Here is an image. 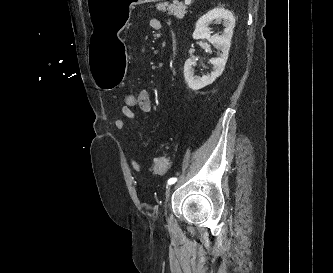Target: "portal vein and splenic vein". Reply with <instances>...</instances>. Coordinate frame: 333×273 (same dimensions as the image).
Listing matches in <instances>:
<instances>
[{
  "mask_svg": "<svg viewBox=\"0 0 333 273\" xmlns=\"http://www.w3.org/2000/svg\"><path fill=\"white\" fill-rule=\"evenodd\" d=\"M192 0H185V4L189 5L191 3Z\"/></svg>",
  "mask_w": 333,
  "mask_h": 273,
  "instance_id": "portal-vein-and-splenic-vein-1",
  "label": "portal vein and splenic vein"
}]
</instances>
